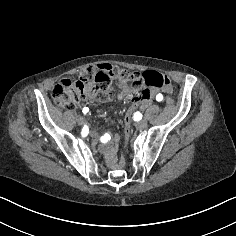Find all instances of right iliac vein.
<instances>
[{
	"label": "right iliac vein",
	"mask_w": 236,
	"mask_h": 236,
	"mask_svg": "<svg viewBox=\"0 0 236 236\" xmlns=\"http://www.w3.org/2000/svg\"><path fill=\"white\" fill-rule=\"evenodd\" d=\"M91 135H92V136H95V135H96V132H95V131H92V132H91Z\"/></svg>",
	"instance_id": "63e3f726"
}]
</instances>
